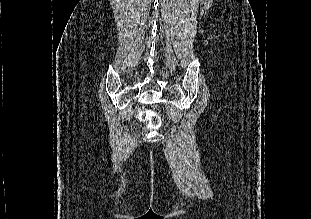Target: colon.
Returning a JSON list of instances; mask_svg holds the SVG:
<instances>
[{
    "label": "colon",
    "mask_w": 311,
    "mask_h": 219,
    "mask_svg": "<svg viewBox=\"0 0 311 219\" xmlns=\"http://www.w3.org/2000/svg\"><path fill=\"white\" fill-rule=\"evenodd\" d=\"M139 117L147 121L151 129H157L160 126V117L152 110H141Z\"/></svg>",
    "instance_id": "5ec220e1"
}]
</instances>
